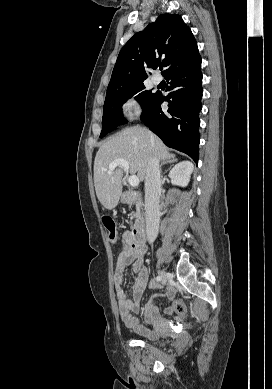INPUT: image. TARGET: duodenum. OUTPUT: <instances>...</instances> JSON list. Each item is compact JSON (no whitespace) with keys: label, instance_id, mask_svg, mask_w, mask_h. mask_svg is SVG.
<instances>
[{"label":"duodenum","instance_id":"1","mask_svg":"<svg viewBox=\"0 0 272 389\" xmlns=\"http://www.w3.org/2000/svg\"><path fill=\"white\" fill-rule=\"evenodd\" d=\"M143 197L142 191H126L122 194L123 203H131L140 200ZM132 241L136 244H144L146 241V217H142L130 232Z\"/></svg>","mask_w":272,"mask_h":389}]
</instances>
